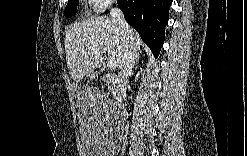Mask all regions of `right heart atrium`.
Instances as JSON below:
<instances>
[{
  "label": "right heart atrium",
  "instance_id": "obj_1",
  "mask_svg": "<svg viewBox=\"0 0 247 156\" xmlns=\"http://www.w3.org/2000/svg\"><path fill=\"white\" fill-rule=\"evenodd\" d=\"M91 4L96 8V11L101 12L108 8L112 2L109 0H93Z\"/></svg>",
  "mask_w": 247,
  "mask_h": 156
}]
</instances>
